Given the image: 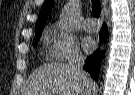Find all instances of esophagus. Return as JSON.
Masks as SVG:
<instances>
[{
  "instance_id": "34e87169",
  "label": "esophagus",
  "mask_w": 135,
  "mask_h": 95,
  "mask_svg": "<svg viewBox=\"0 0 135 95\" xmlns=\"http://www.w3.org/2000/svg\"><path fill=\"white\" fill-rule=\"evenodd\" d=\"M102 3H103V6L105 7L106 6V0H104ZM102 18H104V14L102 15Z\"/></svg>"
}]
</instances>
